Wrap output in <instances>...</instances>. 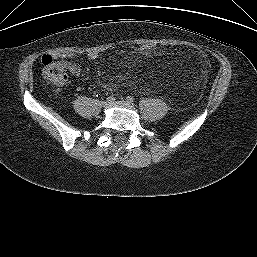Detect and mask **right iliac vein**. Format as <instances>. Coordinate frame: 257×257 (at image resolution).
<instances>
[{
	"instance_id": "obj_1",
	"label": "right iliac vein",
	"mask_w": 257,
	"mask_h": 257,
	"mask_svg": "<svg viewBox=\"0 0 257 257\" xmlns=\"http://www.w3.org/2000/svg\"><path fill=\"white\" fill-rule=\"evenodd\" d=\"M110 104H111V103L108 102V101H102V102H101V106L104 107V108L110 106Z\"/></svg>"
}]
</instances>
